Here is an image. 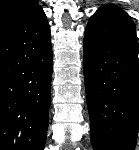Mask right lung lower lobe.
<instances>
[{
  "instance_id": "1",
  "label": "right lung lower lobe",
  "mask_w": 139,
  "mask_h": 150,
  "mask_svg": "<svg viewBox=\"0 0 139 150\" xmlns=\"http://www.w3.org/2000/svg\"><path fill=\"white\" fill-rule=\"evenodd\" d=\"M52 77L43 10L0 33V150H43Z\"/></svg>"
}]
</instances>
